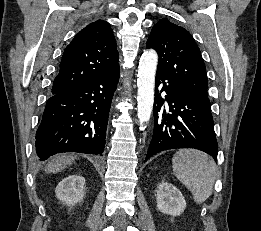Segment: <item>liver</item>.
<instances>
[{
    "label": "liver",
    "mask_w": 261,
    "mask_h": 231,
    "mask_svg": "<svg viewBox=\"0 0 261 231\" xmlns=\"http://www.w3.org/2000/svg\"><path fill=\"white\" fill-rule=\"evenodd\" d=\"M75 160L74 156L70 155H58L52 159V161L47 165L46 172L57 173L62 171L65 167L72 164Z\"/></svg>",
    "instance_id": "1"
}]
</instances>
